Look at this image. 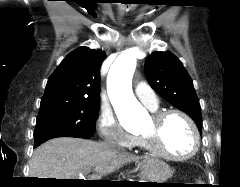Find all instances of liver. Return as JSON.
<instances>
[{
  "instance_id": "6515ba94",
  "label": "liver",
  "mask_w": 240,
  "mask_h": 187,
  "mask_svg": "<svg viewBox=\"0 0 240 187\" xmlns=\"http://www.w3.org/2000/svg\"><path fill=\"white\" fill-rule=\"evenodd\" d=\"M141 158L120 152L102 142L70 137L54 138L34 151L29 176L76 179L80 173L93 169L96 176L101 177Z\"/></svg>"
}]
</instances>
